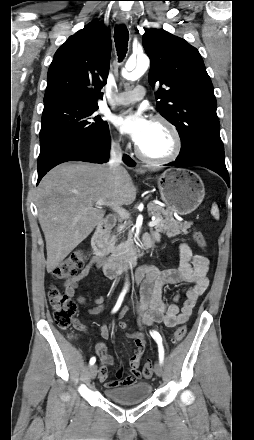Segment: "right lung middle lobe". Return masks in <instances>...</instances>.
Listing matches in <instances>:
<instances>
[{"label":"right lung middle lobe","instance_id":"dd1d6c3e","mask_svg":"<svg viewBox=\"0 0 254 440\" xmlns=\"http://www.w3.org/2000/svg\"><path fill=\"white\" fill-rule=\"evenodd\" d=\"M97 109L98 104L71 99L44 105L38 168L56 152L104 138L108 124L95 113Z\"/></svg>","mask_w":254,"mask_h":440}]
</instances>
